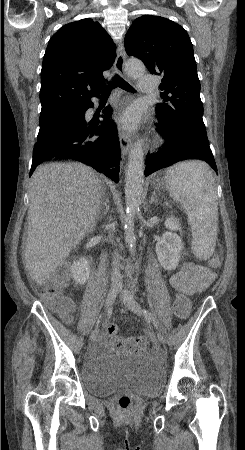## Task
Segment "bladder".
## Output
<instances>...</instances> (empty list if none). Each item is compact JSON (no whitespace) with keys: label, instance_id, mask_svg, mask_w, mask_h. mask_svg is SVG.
<instances>
[{"label":"bladder","instance_id":"31cf9c89","mask_svg":"<svg viewBox=\"0 0 245 450\" xmlns=\"http://www.w3.org/2000/svg\"><path fill=\"white\" fill-rule=\"evenodd\" d=\"M80 377L94 396H108L119 389L153 395L164 381L162 369L143 355L107 354L81 364Z\"/></svg>","mask_w":245,"mask_h":450}]
</instances>
